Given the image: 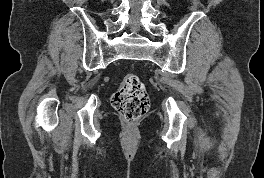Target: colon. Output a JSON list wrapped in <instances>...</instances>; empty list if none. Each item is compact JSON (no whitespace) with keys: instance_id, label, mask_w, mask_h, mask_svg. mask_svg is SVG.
Returning <instances> with one entry per match:
<instances>
[{"instance_id":"colon-1","label":"colon","mask_w":264,"mask_h":178,"mask_svg":"<svg viewBox=\"0 0 264 178\" xmlns=\"http://www.w3.org/2000/svg\"><path fill=\"white\" fill-rule=\"evenodd\" d=\"M112 106L127 122H136L149 109V97L144 83L134 74L124 76L113 94Z\"/></svg>"}]
</instances>
